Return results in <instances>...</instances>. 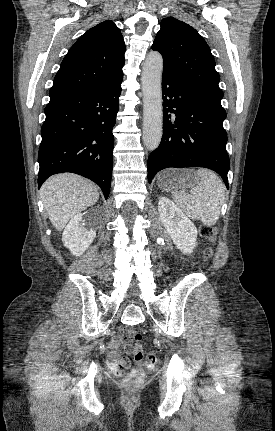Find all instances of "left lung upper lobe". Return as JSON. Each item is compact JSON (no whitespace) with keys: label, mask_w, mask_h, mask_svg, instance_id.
<instances>
[{"label":"left lung upper lobe","mask_w":275,"mask_h":431,"mask_svg":"<svg viewBox=\"0 0 275 431\" xmlns=\"http://www.w3.org/2000/svg\"><path fill=\"white\" fill-rule=\"evenodd\" d=\"M152 49L162 54L164 72L179 79L208 105L225 111L220 103L223 92L214 57L193 27L173 17L163 19Z\"/></svg>","instance_id":"5c2ea615"}]
</instances>
